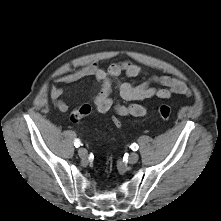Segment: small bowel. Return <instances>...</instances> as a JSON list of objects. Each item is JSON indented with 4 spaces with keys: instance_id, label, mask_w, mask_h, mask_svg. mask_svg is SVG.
Listing matches in <instances>:
<instances>
[{
    "instance_id": "small-bowel-1",
    "label": "small bowel",
    "mask_w": 221,
    "mask_h": 221,
    "mask_svg": "<svg viewBox=\"0 0 221 221\" xmlns=\"http://www.w3.org/2000/svg\"><path fill=\"white\" fill-rule=\"evenodd\" d=\"M141 67L130 60H122L111 64L108 68L101 67L94 62L76 71L64 74L59 80L66 84L78 82L87 77H94L98 83V89L93 102L99 113L113 111L117 116L143 117L147 114V108L138 103L151 98L168 100L172 95H190V89L180 79L174 77H152L139 84L118 81L124 73L127 78H135L141 74ZM117 85L120 96L131 102L128 105L115 104L111 98L112 86ZM158 86V87H157ZM64 89L52 86L50 97L54 106L62 113L68 111V104L62 99Z\"/></svg>"
}]
</instances>
